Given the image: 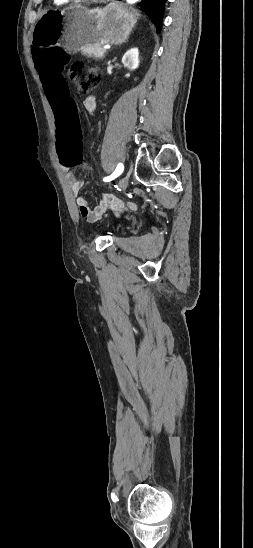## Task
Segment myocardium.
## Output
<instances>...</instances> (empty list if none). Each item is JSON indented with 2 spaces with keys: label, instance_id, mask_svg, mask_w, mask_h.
<instances>
[{
  "label": "myocardium",
  "instance_id": "f54148a6",
  "mask_svg": "<svg viewBox=\"0 0 253 548\" xmlns=\"http://www.w3.org/2000/svg\"><path fill=\"white\" fill-rule=\"evenodd\" d=\"M69 1H102V0H69Z\"/></svg>",
  "mask_w": 253,
  "mask_h": 548
}]
</instances>
